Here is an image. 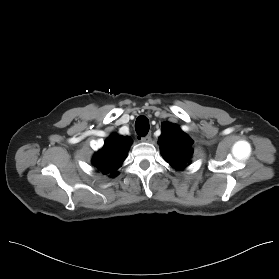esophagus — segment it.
<instances>
[{
  "label": "esophagus",
  "mask_w": 279,
  "mask_h": 279,
  "mask_svg": "<svg viewBox=\"0 0 279 279\" xmlns=\"http://www.w3.org/2000/svg\"><path fill=\"white\" fill-rule=\"evenodd\" d=\"M140 141H142V142H150L151 141V133L147 134L144 137H141Z\"/></svg>",
  "instance_id": "1"
}]
</instances>
